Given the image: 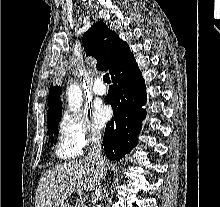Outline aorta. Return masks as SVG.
Listing matches in <instances>:
<instances>
[{"mask_svg":"<svg viewBox=\"0 0 220 207\" xmlns=\"http://www.w3.org/2000/svg\"><path fill=\"white\" fill-rule=\"evenodd\" d=\"M68 108L71 112H79L82 105V90L77 82L70 84L67 90Z\"/></svg>","mask_w":220,"mask_h":207,"instance_id":"obj_1","label":"aorta"}]
</instances>
